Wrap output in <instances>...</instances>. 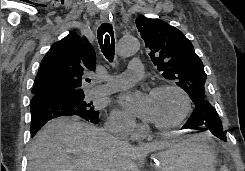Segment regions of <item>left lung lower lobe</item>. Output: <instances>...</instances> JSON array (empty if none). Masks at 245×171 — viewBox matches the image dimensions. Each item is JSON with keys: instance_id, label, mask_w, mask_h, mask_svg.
Masks as SVG:
<instances>
[{"instance_id": "obj_1", "label": "left lung lower lobe", "mask_w": 245, "mask_h": 171, "mask_svg": "<svg viewBox=\"0 0 245 171\" xmlns=\"http://www.w3.org/2000/svg\"><path fill=\"white\" fill-rule=\"evenodd\" d=\"M182 129L210 130L219 139L227 141L218 113L208 100L196 104L194 112Z\"/></svg>"}]
</instances>
